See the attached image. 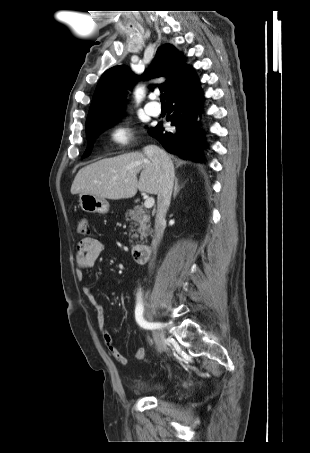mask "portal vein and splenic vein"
Instances as JSON below:
<instances>
[{"label": "portal vein and splenic vein", "instance_id": "18ae733b", "mask_svg": "<svg viewBox=\"0 0 310 453\" xmlns=\"http://www.w3.org/2000/svg\"><path fill=\"white\" fill-rule=\"evenodd\" d=\"M154 203H155L154 198L150 197V198H147L145 200L144 206H145V208L149 209V208H152L154 206Z\"/></svg>", "mask_w": 310, "mask_h": 453}]
</instances>
